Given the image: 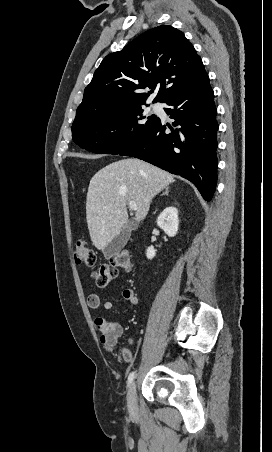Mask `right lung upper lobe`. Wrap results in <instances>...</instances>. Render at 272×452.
Listing matches in <instances>:
<instances>
[{
    "label": "right lung upper lobe",
    "instance_id": "cb5924a9",
    "mask_svg": "<svg viewBox=\"0 0 272 452\" xmlns=\"http://www.w3.org/2000/svg\"><path fill=\"white\" fill-rule=\"evenodd\" d=\"M207 77L202 60L184 34L161 25L103 59L84 90L75 119L145 104L155 88L159 91L153 103H165ZM145 88L152 90L143 93Z\"/></svg>",
    "mask_w": 272,
    "mask_h": 452
}]
</instances>
